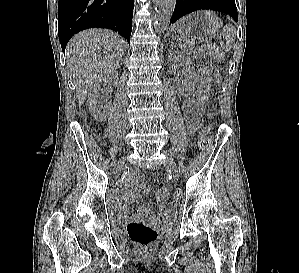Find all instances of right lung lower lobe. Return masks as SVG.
Segmentation results:
<instances>
[{
	"mask_svg": "<svg viewBox=\"0 0 299 273\" xmlns=\"http://www.w3.org/2000/svg\"><path fill=\"white\" fill-rule=\"evenodd\" d=\"M134 0H59L58 34L62 50L79 31L101 27L118 32L130 44Z\"/></svg>",
	"mask_w": 299,
	"mask_h": 273,
	"instance_id": "right-lung-lower-lobe-1",
	"label": "right lung lower lobe"
}]
</instances>
